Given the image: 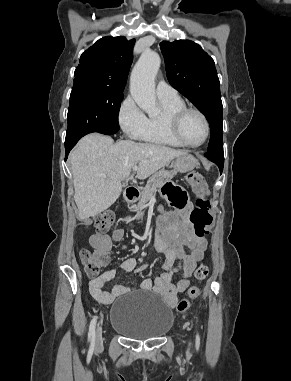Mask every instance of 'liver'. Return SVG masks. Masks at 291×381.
Masks as SVG:
<instances>
[{
    "instance_id": "1",
    "label": "liver",
    "mask_w": 291,
    "mask_h": 381,
    "mask_svg": "<svg viewBox=\"0 0 291 381\" xmlns=\"http://www.w3.org/2000/svg\"><path fill=\"white\" fill-rule=\"evenodd\" d=\"M186 153L131 140L114 143L111 137L98 133L86 135L69 155L79 219L87 220L114 204L122 192L121 182L135 165L136 177L143 180Z\"/></svg>"
}]
</instances>
